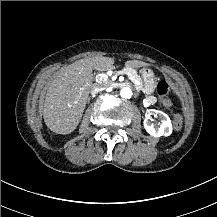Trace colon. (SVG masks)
I'll return each instance as SVG.
<instances>
[{"label": "colon", "instance_id": "5ec220e1", "mask_svg": "<svg viewBox=\"0 0 217 217\" xmlns=\"http://www.w3.org/2000/svg\"><path fill=\"white\" fill-rule=\"evenodd\" d=\"M157 93L160 98L162 106L169 108L171 106V97H170V88L168 83L165 80H160L157 83ZM174 127L177 130H181L184 126V118L181 114H176L173 117Z\"/></svg>", "mask_w": 217, "mask_h": 217}]
</instances>
